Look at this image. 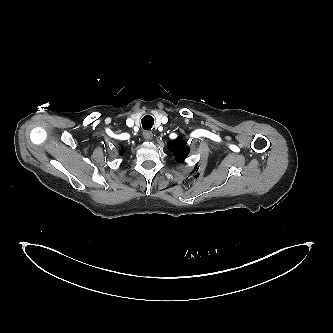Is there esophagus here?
<instances>
[{"label": "esophagus", "mask_w": 333, "mask_h": 333, "mask_svg": "<svg viewBox=\"0 0 333 333\" xmlns=\"http://www.w3.org/2000/svg\"><path fill=\"white\" fill-rule=\"evenodd\" d=\"M143 137L146 140H151V139H153V133L151 131H144L143 132Z\"/></svg>", "instance_id": "34e87169"}]
</instances>
